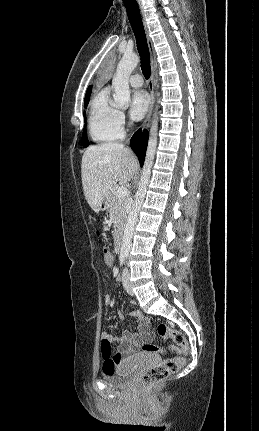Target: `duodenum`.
Segmentation results:
<instances>
[{
    "label": "duodenum",
    "mask_w": 259,
    "mask_h": 431,
    "mask_svg": "<svg viewBox=\"0 0 259 431\" xmlns=\"http://www.w3.org/2000/svg\"><path fill=\"white\" fill-rule=\"evenodd\" d=\"M122 240H123L122 234L119 233V232L116 233L115 240H114V248H115V251L117 253L121 252V249H122Z\"/></svg>",
    "instance_id": "obj_1"
}]
</instances>
